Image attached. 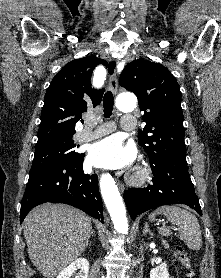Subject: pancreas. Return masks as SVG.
Returning <instances> with one entry per match:
<instances>
[{"label":"pancreas","instance_id":"1","mask_svg":"<svg viewBox=\"0 0 221 278\" xmlns=\"http://www.w3.org/2000/svg\"><path fill=\"white\" fill-rule=\"evenodd\" d=\"M163 245L165 246V248L168 247L167 241L166 240H162Z\"/></svg>","mask_w":221,"mask_h":278}]
</instances>
